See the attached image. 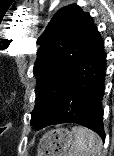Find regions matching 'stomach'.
<instances>
[{
    "label": "stomach",
    "instance_id": "stomach-1",
    "mask_svg": "<svg viewBox=\"0 0 114 156\" xmlns=\"http://www.w3.org/2000/svg\"><path fill=\"white\" fill-rule=\"evenodd\" d=\"M75 142L72 130L58 127L46 132L40 139L37 156H68Z\"/></svg>",
    "mask_w": 114,
    "mask_h": 156
}]
</instances>
